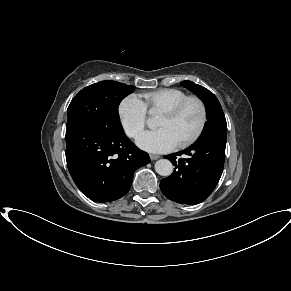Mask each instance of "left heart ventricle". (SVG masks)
Instances as JSON below:
<instances>
[{"instance_id": "obj_1", "label": "left heart ventricle", "mask_w": 291, "mask_h": 291, "mask_svg": "<svg viewBox=\"0 0 291 291\" xmlns=\"http://www.w3.org/2000/svg\"><path fill=\"white\" fill-rule=\"evenodd\" d=\"M201 121V108L192 101L175 118L160 116L156 126L169 131L177 144L190 138L198 129Z\"/></svg>"}]
</instances>
